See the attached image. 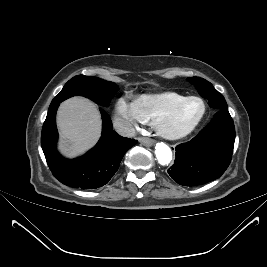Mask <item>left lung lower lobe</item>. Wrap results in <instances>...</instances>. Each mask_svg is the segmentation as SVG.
Returning <instances> with one entry per match:
<instances>
[{
  "mask_svg": "<svg viewBox=\"0 0 267 267\" xmlns=\"http://www.w3.org/2000/svg\"><path fill=\"white\" fill-rule=\"evenodd\" d=\"M234 141L235 128L229 111L219 109L196 137L176 147L169 175L184 186H197L219 178L230 164Z\"/></svg>",
  "mask_w": 267,
  "mask_h": 267,
  "instance_id": "0a47b994",
  "label": "left lung lower lobe"
}]
</instances>
